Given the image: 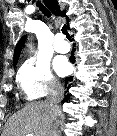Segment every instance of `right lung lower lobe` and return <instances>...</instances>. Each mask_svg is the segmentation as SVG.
Wrapping results in <instances>:
<instances>
[{
    "label": "right lung lower lobe",
    "mask_w": 117,
    "mask_h": 136,
    "mask_svg": "<svg viewBox=\"0 0 117 136\" xmlns=\"http://www.w3.org/2000/svg\"><path fill=\"white\" fill-rule=\"evenodd\" d=\"M70 61H71L72 63L75 62L74 56H71V57H70ZM71 81H72V76L66 78V81H65V82H66V85H68V88L71 86ZM69 99H70V94H67L66 97H65V99H64L62 102H67Z\"/></svg>",
    "instance_id": "right-lung-lower-lobe-1"
}]
</instances>
